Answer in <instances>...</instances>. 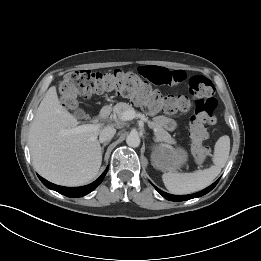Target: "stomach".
<instances>
[{"label":"stomach","instance_id":"0dacf381","mask_svg":"<svg viewBox=\"0 0 261 261\" xmlns=\"http://www.w3.org/2000/svg\"><path fill=\"white\" fill-rule=\"evenodd\" d=\"M188 159L186 150L181 147L170 148L158 145L153 148L151 162L154 168L174 172L180 169Z\"/></svg>","mask_w":261,"mask_h":261}]
</instances>
